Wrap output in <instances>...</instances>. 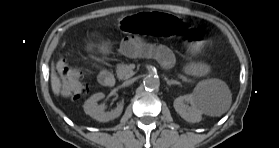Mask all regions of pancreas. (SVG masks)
<instances>
[{"label": "pancreas", "instance_id": "cf45deb5", "mask_svg": "<svg viewBox=\"0 0 279 148\" xmlns=\"http://www.w3.org/2000/svg\"><path fill=\"white\" fill-rule=\"evenodd\" d=\"M117 77L119 79H128L135 74V72L130 68L129 65L121 63L117 65ZM178 78L182 79L183 82L193 83L191 79H187L184 75L178 74Z\"/></svg>", "mask_w": 279, "mask_h": 148}]
</instances>
